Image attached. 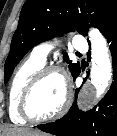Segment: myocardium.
Returning <instances> with one entry per match:
<instances>
[{
	"label": "myocardium",
	"instance_id": "f54148a6",
	"mask_svg": "<svg viewBox=\"0 0 117 136\" xmlns=\"http://www.w3.org/2000/svg\"><path fill=\"white\" fill-rule=\"evenodd\" d=\"M50 74H58L64 80L65 95H64L63 103L60 106V108L51 116L34 117L30 114L28 110L29 98L32 92L34 91L35 87L38 85V83ZM71 101H72V89L66 72L59 66H55V65L43 66L31 77V79L24 87L20 97L18 112L25 120L32 123L51 122L60 118L67 111V109L71 104Z\"/></svg>",
	"mask_w": 117,
	"mask_h": 136
}]
</instances>
